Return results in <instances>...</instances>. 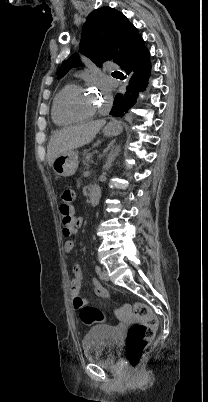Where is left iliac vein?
Here are the masks:
<instances>
[{
  "mask_svg": "<svg viewBox=\"0 0 208 402\" xmlns=\"http://www.w3.org/2000/svg\"><path fill=\"white\" fill-rule=\"evenodd\" d=\"M100 277L102 280L104 281H109V276H108V272L106 270H103L100 274Z\"/></svg>",
  "mask_w": 208,
  "mask_h": 402,
  "instance_id": "4c4485c4",
  "label": "left iliac vein"
}]
</instances>
